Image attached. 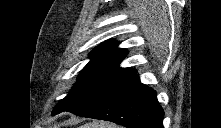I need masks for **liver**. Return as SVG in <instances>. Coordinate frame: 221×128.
<instances>
[{"mask_svg": "<svg viewBox=\"0 0 221 128\" xmlns=\"http://www.w3.org/2000/svg\"><path fill=\"white\" fill-rule=\"evenodd\" d=\"M80 128H119V126L105 121H92L82 125Z\"/></svg>", "mask_w": 221, "mask_h": 128, "instance_id": "6515ba94", "label": "liver"}]
</instances>
